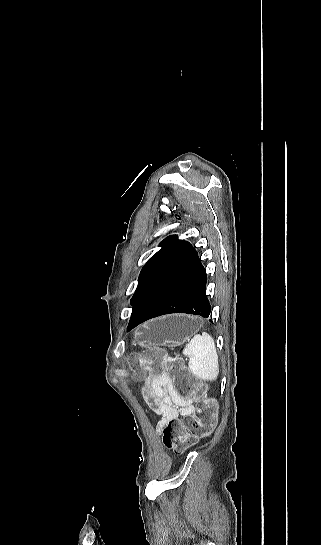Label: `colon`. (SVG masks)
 <instances>
[{"instance_id":"obj_1","label":"colon","mask_w":321,"mask_h":545,"mask_svg":"<svg viewBox=\"0 0 321 545\" xmlns=\"http://www.w3.org/2000/svg\"><path fill=\"white\" fill-rule=\"evenodd\" d=\"M137 378H168L172 389L183 398L196 401L193 414L183 420L171 419L162 427L164 445L181 454L209 436L216 424L217 405L206 395L205 385L190 374L177 358H167L159 352H149L130 360Z\"/></svg>"}]
</instances>
